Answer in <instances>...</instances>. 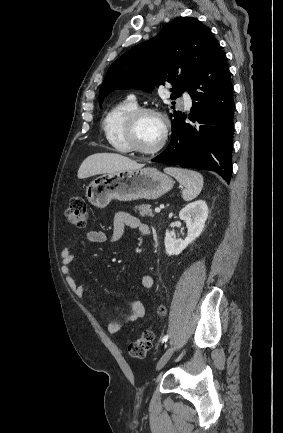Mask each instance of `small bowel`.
I'll use <instances>...</instances> for the list:
<instances>
[{
	"label": "small bowel",
	"instance_id": "small-bowel-1",
	"mask_svg": "<svg viewBox=\"0 0 283 433\" xmlns=\"http://www.w3.org/2000/svg\"><path fill=\"white\" fill-rule=\"evenodd\" d=\"M130 227L138 229L142 234H149L150 228L148 225L143 224L138 218L127 213L118 212L114 215L112 231L110 235L111 242H118L124 234L125 228ZM86 239L93 243H102L107 241L108 236L103 231L90 230L86 233ZM61 257V272L66 277L68 287L73 294L82 302L89 303L85 289L82 285L78 284L74 279L70 265L74 260V254L69 246H65L60 253ZM154 284V279L151 275H144L140 280V285L144 289H150ZM146 314L144 304L140 300H134L131 303L130 314L126 318L127 323L135 322L143 318ZM121 323L117 321H110L108 323V330L111 333H116L121 330Z\"/></svg>",
	"mask_w": 283,
	"mask_h": 433
}]
</instances>
